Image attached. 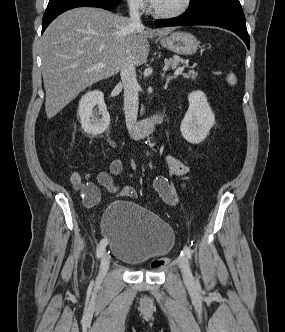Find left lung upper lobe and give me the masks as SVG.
I'll return each mask as SVG.
<instances>
[{"instance_id":"obj_1","label":"left lung upper lobe","mask_w":285,"mask_h":332,"mask_svg":"<svg viewBox=\"0 0 285 332\" xmlns=\"http://www.w3.org/2000/svg\"><path fill=\"white\" fill-rule=\"evenodd\" d=\"M218 1H222V0H190V6H189L188 10L197 9L204 5H207V4H210L213 2H218Z\"/></svg>"}]
</instances>
